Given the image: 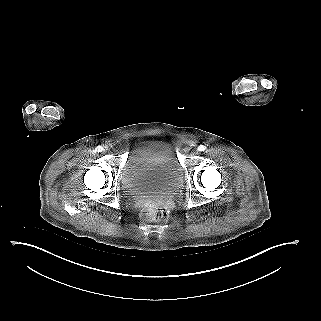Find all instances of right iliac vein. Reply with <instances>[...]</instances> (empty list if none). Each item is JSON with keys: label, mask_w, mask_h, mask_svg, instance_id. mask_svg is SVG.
<instances>
[{"label": "right iliac vein", "mask_w": 321, "mask_h": 321, "mask_svg": "<svg viewBox=\"0 0 321 321\" xmlns=\"http://www.w3.org/2000/svg\"><path fill=\"white\" fill-rule=\"evenodd\" d=\"M109 149H108V146H105V148H104V151L106 152V151H108Z\"/></svg>", "instance_id": "obj_1"}]
</instances>
